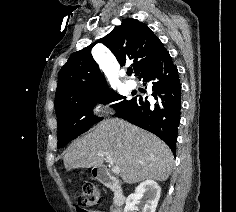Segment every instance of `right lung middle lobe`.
Here are the masks:
<instances>
[{"label":"right lung middle lobe","mask_w":236,"mask_h":212,"mask_svg":"<svg viewBox=\"0 0 236 212\" xmlns=\"http://www.w3.org/2000/svg\"><path fill=\"white\" fill-rule=\"evenodd\" d=\"M125 96L109 90L88 95L75 100L63 109L56 111L58 121V145L61 148L71 140L86 132L101 119L92 114L96 102H117L112 107L117 111L131 102Z\"/></svg>","instance_id":"obj_1"}]
</instances>
